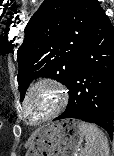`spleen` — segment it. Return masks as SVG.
I'll use <instances>...</instances> for the list:
<instances>
[{
    "instance_id": "spleen-1",
    "label": "spleen",
    "mask_w": 114,
    "mask_h": 156,
    "mask_svg": "<svg viewBox=\"0 0 114 156\" xmlns=\"http://www.w3.org/2000/svg\"><path fill=\"white\" fill-rule=\"evenodd\" d=\"M80 129L85 136V147L81 156H109L108 139L97 126L80 122Z\"/></svg>"
}]
</instances>
